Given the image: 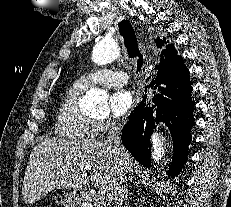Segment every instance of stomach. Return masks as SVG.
Returning a JSON list of instances; mask_svg holds the SVG:
<instances>
[{
  "instance_id": "0dacf381",
  "label": "stomach",
  "mask_w": 231,
  "mask_h": 207,
  "mask_svg": "<svg viewBox=\"0 0 231 207\" xmlns=\"http://www.w3.org/2000/svg\"><path fill=\"white\" fill-rule=\"evenodd\" d=\"M60 202L63 205V207H77L80 204L81 199L79 193L77 191H73L70 193H64L61 196Z\"/></svg>"
}]
</instances>
